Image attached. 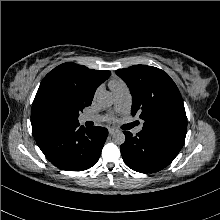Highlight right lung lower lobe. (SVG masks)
Instances as JSON below:
<instances>
[{
  "instance_id": "right-lung-lower-lobe-1",
  "label": "right lung lower lobe",
  "mask_w": 220,
  "mask_h": 220,
  "mask_svg": "<svg viewBox=\"0 0 220 220\" xmlns=\"http://www.w3.org/2000/svg\"><path fill=\"white\" fill-rule=\"evenodd\" d=\"M33 135L43 154L56 167L82 171L98 161L108 130L96 126L84 128L77 122L41 126L33 130Z\"/></svg>"
}]
</instances>
